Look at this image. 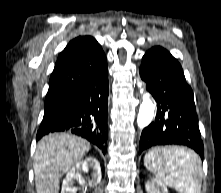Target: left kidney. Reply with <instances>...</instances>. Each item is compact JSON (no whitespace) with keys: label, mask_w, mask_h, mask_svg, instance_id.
<instances>
[{"label":"left kidney","mask_w":221,"mask_h":193,"mask_svg":"<svg viewBox=\"0 0 221 193\" xmlns=\"http://www.w3.org/2000/svg\"><path fill=\"white\" fill-rule=\"evenodd\" d=\"M145 188L147 193H168L165 184L158 179H152L151 182H147Z\"/></svg>","instance_id":"obj_1"}]
</instances>
